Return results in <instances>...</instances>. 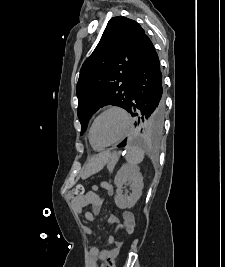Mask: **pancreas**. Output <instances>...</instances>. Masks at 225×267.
<instances>
[{
    "mask_svg": "<svg viewBox=\"0 0 225 267\" xmlns=\"http://www.w3.org/2000/svg\"><path fill=\"white\" fill-rule=\"evenodd\" d=\"M116 161H117L116 159H113L108 163V170H109L110 173L113 172V169H114V166L116 164Z\"/></svg>",
    "mask_w": 225,
    "mask_h": 267,
    "instance_id": "obj_1",
    "label": "pancreas"
}]
</instances>
